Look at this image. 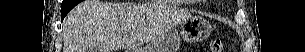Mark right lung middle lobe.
<instances>
[{
    "mask_svg": "<svg viewBox=\"0 0 305 52\" xmlns=\"http://www.w3.org/2000/svg\"><path fill=\"white\" fill-rule=\"evenodd\" d=\"M82 0H66L64 3H74V4H78L80 3Z\"/></svg>",
    "mask_w": 305,
    "mask_h": 52,
    "instance_id": "1",
    "label": "right lung middle lobe"
}]
</instances>
